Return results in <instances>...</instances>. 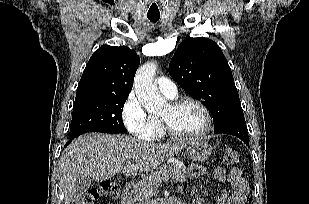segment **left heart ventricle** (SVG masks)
Wrapping results in <instances>:
<instances>
[{
  "mask_svg": "<svg viewBox=\"0 0 309 204\" xmlns=\"http://www.w3.org/2000/svg\"><path fill=\"white\" fill-rule=\"evenodd\" d=\"M160 117L166 119L177 133L184 135L196 134L205 125L203 112L191 103L184 104L177 109H172L168 105Z\"/></svg>",
  "mask_w": 309,
  "mask_h": 204,
  "instance_id": "b2bd125f",
  "label": "left heart ventricle"
}]
</instances>
